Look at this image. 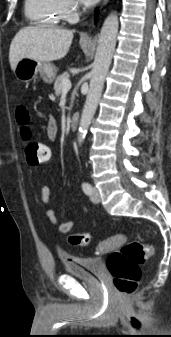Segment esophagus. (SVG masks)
Returning a JSON list of instances; mask_svg holds the SVG:
<instances>
[{"mask_svg": "<svg viewBox=\"0 0 171 337\" xmlns=\"http://www.w3.org/2000/svg\"><path fill=\"white\" fill-rule=\"evenodd\" d=\"M109 0H104L102 5H105Z\"/></svg>", "mask_w": 171, "mask_h": 337, "instance_id": "1", "label": "esophagus"}]
</instances>
